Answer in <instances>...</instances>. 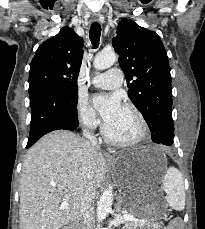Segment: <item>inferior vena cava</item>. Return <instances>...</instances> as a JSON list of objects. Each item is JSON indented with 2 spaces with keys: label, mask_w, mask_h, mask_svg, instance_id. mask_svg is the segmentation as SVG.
Masks as SVG:
<instances>
[{
  "label": "inferior vena cava",
  "mask_w": 205,
  "mask_h": 229,
  "mask_svg": "<svg viewBox=\"0 0 205 229\" xmlns=\"http://www.w3.org/2000/svg\"><path fill=\"white\" fill-rule=\"evenodd\" d=\"M83 134L86 138H88L92 144V146L97 147V138L87 130L83 131ZM95 198V189L90 183L87 189L85 190L82 200L80 213L82 215V229H91L93 222V211L92 205L94 203Z\"/></svg>",
  "instance_id": "602c4592"
}]
</instances>
